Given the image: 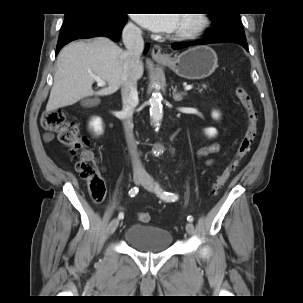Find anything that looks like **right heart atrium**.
Returning a JSON list of instances; mask_svg holds the SVG:
<instances>
[{"label": "right heart atrium", "instance_id": "obj_1", "mask_svg": "<svg viewBox=\"0 0 303 303\" xmlns=\"http://www.w3.org/2000/svg\"><path fill=\"white\" fill-rule=\"evenodd\" d=\"M126 30L129 32V33H132V34H138L140 32L139 28L132 24V23H128L126 25Z\"/></svg>", "mask_w": 303, "mask_h": 303}]
</instances>
